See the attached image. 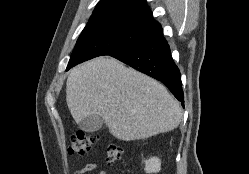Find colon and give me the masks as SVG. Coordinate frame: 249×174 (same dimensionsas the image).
<instances>
[{
  "mask_svg": "<svg viewBox=\"0 0 249 174\" xmlns=\"http://www.w3.org/2000/svg\"><path fill=\"white\" fill-rule=\"evenodd\" d=\"M97 136L88 132H78L70 140L68 152L71 155H84L90 151L97 143ZM123 150L116 144H109L105 150V161L111 165L119 161L122 157Z\"/></svg>",
  "mask_w": 249,
  "mask_h": 174,
  "instance_id": "5ec220e1",
  "label": "colon"
}]
</instances>
